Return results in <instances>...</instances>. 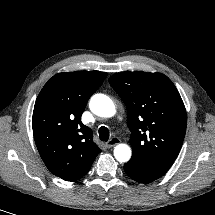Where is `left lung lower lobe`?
Returning <instances> with one entry per match:
<instances>
[{
    "label": "left lung lower lobe",
    "mask_w": 215,
    "mask_h": 215,
    "mask_svg": "<svg viewBox=\"0 0 215 215\" xmlns=\"http://www.w3.org/2000/svg\"><path fill=\"white\" fill-rule=\"evenodd\" d=\"M124 170L130 178L140 183H150L160 178L158 176H153V175L144 173L127 163L124 165Z\"/></svg>",
    "instance_id": "left-lung-lower-lobe-1"
}]
</instances>
